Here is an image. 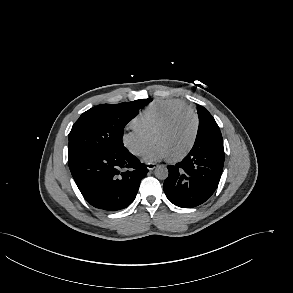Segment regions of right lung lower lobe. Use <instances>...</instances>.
Listing matches in <instances>:
<instances>
[{"mask_svg": "<svg viewBox=\"0 0 293 293\" xmlns=\"http://www.w3.org/2000/svg\"><path fill=\"white\" fill-rule=\"evenodd\" d=\"M69 168L86 201L106 211L130 205L149 171L124 146L93 154Z\"/></svg>", "mask_w": 293, "mask_h": 293, "instance_id": "obj_1", "label": "right lung lower lobe"}]
</instances>
